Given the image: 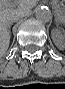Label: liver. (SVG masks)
I'll return each instance as SVG.
<instances>
[{"instance_id":"6515ba94","label":"liver","mask_w":65,"mask_h":89,"mask_svg":"<svg viewBox=\"0 0 65 89\" xmlns=\"http://www.w3.org/2000/svg\"><path fill=\"white\" fill-rule=\"evenodd\" d=\"M36 4L35 0H19L10 1L2 0L0 2V53L3 55L10 44V33L8 26L11 25L10 21L14 16L19 14H27L30 9ZM17 6L18 8H14Z\"/></svg>"}]
</instances>
